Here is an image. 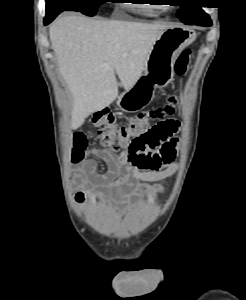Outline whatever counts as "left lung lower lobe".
<instances>
[{"label":"left lung lower lobe","mask_w":246,"mask_h":300,"mask_svg":"<svg viewBox=\"0 0 246 300\" xmlns=\"http://www.w3.org/2000/svg\"><path fill=\"white\" fill-rule=\"evenodd\" d=\"M211 24H212V21L210 20L208 22L198 23V24H195V25L208 27V26H211Z\"/></svg>","instance_id":"1"}]
</instances>
